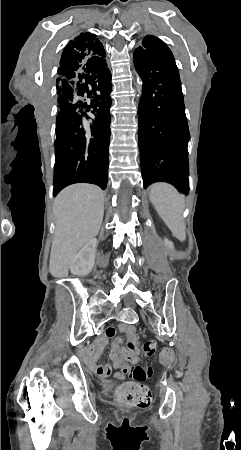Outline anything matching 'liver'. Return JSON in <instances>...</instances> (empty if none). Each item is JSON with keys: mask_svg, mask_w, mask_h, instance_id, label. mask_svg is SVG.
<instances>
[{"mask_svg": "<svg viewBox=\"0 0 241 450\" xmlns=\"http://www.w3.org/2000/svg\"><path fill=\"white\" fill-rule=\"evenodd\" d=\"M56 222L49 270L54 278L68 276L78 250L98 236L104 216V194L92 184H73L53 204Z\"/></svg>", "mask_w": 241, "mask_h": 450, "instance_id": "1", "label": "liver"}]
</instances>
